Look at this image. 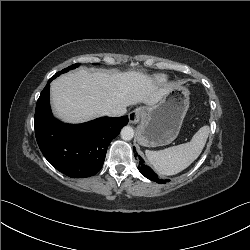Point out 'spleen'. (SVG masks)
<instances>
[{"label":"spleen","instance_id":"3e777b00","mask_svg":"<svg viewBox=\"0 0 250 250\" xmlns=\"http://www.w3.org/2000/svg\"><path fill=\"white\" fill-rule=\"evenodd\" d=\"M209 133V126H203L188 143L160 151L146 150L147 159L158 173L175 175L186 169L198 158L205 146Z\"/></svg>","mask_w":250,"mask_h":250}]
</instances>
